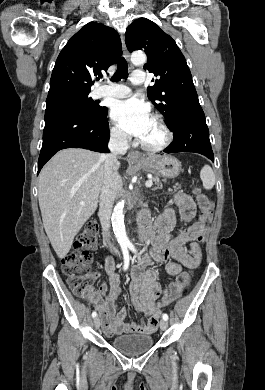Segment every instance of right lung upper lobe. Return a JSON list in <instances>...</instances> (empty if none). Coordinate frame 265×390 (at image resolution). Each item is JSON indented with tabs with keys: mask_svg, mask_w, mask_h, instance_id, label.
<instances>
[{
	"mask_svg": "<svg viewBox=\"0 0 265 390\" xmlns=\"http://www.w3.org/2000/svg\"><path fill=\"white\" fill-rule=\"evenodd\" d=\"M119 34L111 27L90 22L73 35L60 52L52 71L47 100L71 94L90 93L121 56Z\"/></svg>",
	"mask_w": 265,
	"mask_h": 390,
	"instance_id": "1",
	"label": "right lung upper lobe"
}]
</instances>
